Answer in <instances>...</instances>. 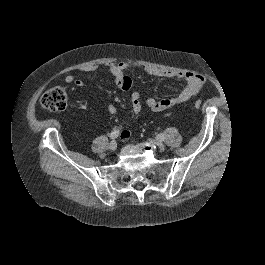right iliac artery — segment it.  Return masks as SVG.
Instances as JSON below:
<instances>
[{"label": "right iliac artery", "mask_w": 265, "mask_h": 265, "mask_svg": "<svg viewBox=\"0 0 265 265\" xmlns=\"http://www.w3.org/2000/svg\"><path fill=\"white\" fill-rule=\"evenodd\" d=\"M120 132L119 130H113L111 133H110V138L111 139H116L118 136H119Z\"/></svg>", "instance_id": "1"}]
</instances>
